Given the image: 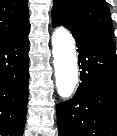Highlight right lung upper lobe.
<instances>
[{"label":"right lung upper lobe","instance_id":"obj_1","mask_svg":"<svg viewBox=\"0 0 117 136\" xmlns=\"http://www.w3.org/2000/svg\"><path fill=\"white\" fill-rule=\"evenodd\" d=\"M28 0H0V41L30 27Z\"/></svg>","mask_w":117,"mask_h":136}]
</instances>
